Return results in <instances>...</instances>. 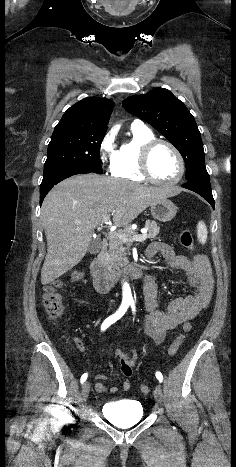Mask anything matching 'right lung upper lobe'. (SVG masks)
Returning a JSON list of instances; mask_svg holds the SVG:
<instances>
[{
	"mask_svg": "<svg viewBox=\"0 0 236 467\" xmlns=\"http://www.w3.org/2000/svg\"><path fill=\"white\" fill-rule=\"evenodd\" d=\"M112 109L109 99L85 98L66 110L55 129L106 132Z\"/></svg>",
	"mask_w": 236,
	"mask_h": 467,
	"instance_id": "obj_1",
	"label": "right lung upper lobe"
}]
</instances>
